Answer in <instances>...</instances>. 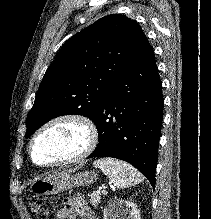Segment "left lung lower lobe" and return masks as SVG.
I'll use <instances>...</instances> for the list:
<instances>
[{
  "label": "left lung lower lobe",
  "mask_w": 211,
  "mask_h": 219,
  "mask_svg": "<svg viewBox=\"0 0 211 219\" xmlns=\"http://www.w3.org/2000/svg\"><path fill=\"white\" fill-rule=\"evenodd\" d=\"M163 105L154 51L147 41L104 96L93 120L99 143L87 158L127 161L145 175L154 189Z\"/></svg>",
  "instance_id": "left-lung-lower-lobe-1"
}]
</instances>
